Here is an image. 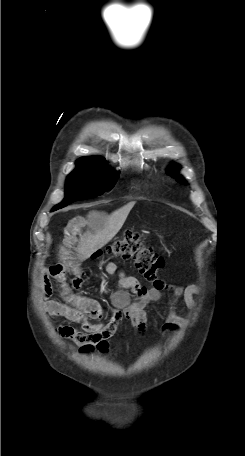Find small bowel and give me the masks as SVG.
I'll return each mask as SVG.
<instances>
[{"instance_id": "small-bowel-1", "label": "small bowel", "mask_w": 245, "mask_h": 456, "mask_svg": "<svg viewBox=\"0 0 245 456\" xmlns=\"http://www.w3.org/2000/svg\"><path fill=\"white\" fill-rule=\"evenodd\" d=\"M84 224L85 220L81 217L70 221L65 232V242L68 246L74 244L77 232ZM67 260L71 263L72 258L68 255ZM104 270L107 274H115L118 268L115 263L106 262ZM50 277L61 288L64 299L63 301L49 299L52 295V284L50 278L46 277L41 286L45 312L48 316H62L81 324V331L71 326H61L58 328V334L72 340L80 346L84 353L97 350L102 354H108L109 339L115 334L124 319L130 321L136 331L143 335L147 328L145 308L149 303L161 298L160 290L143 287L135 277L120 272L117 282L118 289L112 296V308L108 311L97 300L72 293L66 284V275L62 265L51 267ZM85 280L86 274L78 271L73 286L78 288ZM199 293V286L194 284L174 288L168 321L163 325L165 333L177 331L183 323V319L174 312V303L182 298L188 308L194 309L196 308L194 297ZM94 320L103 322L93 323Z\"/></svg>"}]
</instances>
